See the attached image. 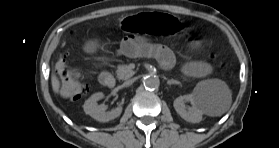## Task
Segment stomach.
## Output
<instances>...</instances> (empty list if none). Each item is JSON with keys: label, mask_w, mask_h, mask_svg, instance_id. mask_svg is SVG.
Returning <instances> with one entry per match:
<instances>
[{"label": "stomach", "mask_w": 279, "mask_h": 148, "mask_svg": "<svg viewBox=\"0 0 279 148\" xmlns=\"http://www.w3.org/2000/svg\"><path fill=\"white\" fill-rule=\"evenodd\" d=\"M121 26L129 32L142 31L158 41L180 43L182 50L189 55L203 53L214 39V30L209 23L193 16L167 15L158 10L127 16ZM83 42L98 58H107L113 52L112 41L99 27L87 28Z\"/></svg>", "instance_id": "0dacf381"}]
</instances>
